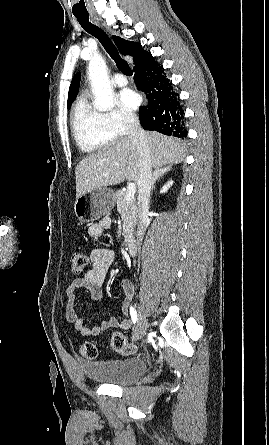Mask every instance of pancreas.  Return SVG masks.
I'll return each mask as SVG.
<instances>
[{
  "mask_svg": "<svg viewBox=\"0 0 269 445\" xmlns=\"http://www.w3.org/2000/svg\"><path fill=\"white\" fill-rule=\"evenodd\" d=\"M117 210L123 222V234L126 243L133 241L134 227L139 215L138 206L135 199L126 200V192L121 190L116 192Z\"/></svg>",
  "mask_w": 269,
  "mask_h": 445,
  "instance_id": "pancreas-1",
  "label": "pancreas"
}]
</instances>
